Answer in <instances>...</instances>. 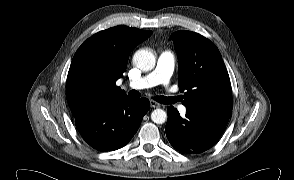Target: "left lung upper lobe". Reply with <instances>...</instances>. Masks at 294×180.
Masks as SVG:
<instances>
[{
  "label": "left lung upper lobe",
  "instance_id": "obj_1",
  "mask_svg": "<svg viewBox=\"0 0 294 180\" xmlns=\"http://www.w3.org/2000/svg\"><path fill=\"white\" fill-rule=\"evenodd\" d=\"M170 39L178 52V86L186 91L182 104L232 111L230 78L215 44L198 33L182 30L173 33Z\"/></svg>",
  "mask_w": 294,
  "mask_h": 180
}]
</instances>
